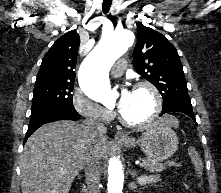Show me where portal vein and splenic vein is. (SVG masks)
Masks as SVG:
<instances>
[{"label":"portal vein and splenic vein","instance_id":"1","mask_svg":"<svg viewBox=\"0 0 221 193\" xmlns=\"http://www.w3.org/2000/svg\"><path fill=\"white\" fill-rule=\"evenodd\" d=\"M145 164L144 163H139V167H144Z\"/></svg>","mask_w":221,"mask_h":193}]
</instances>
